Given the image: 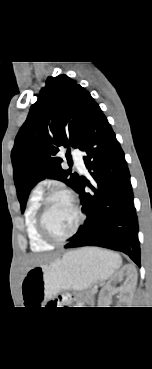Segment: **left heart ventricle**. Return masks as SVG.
<instances>
[{
  "instance_id": "1",
  "label": "left heart ventricle",
  "mask_w": 152,
  "mask_h": 369,
  "mask_svg": "<svg viewBox=\"0 0 152 369\" xmlns=\"http://www.w3.org/2000/svg\"><path fill=\"white\" fill-rule=\"evenodd\" d=\"M46 222L51 233L63 237L71 232L76 223V212L65 196H56L48 204Z\"/></svg>"
}]
</instances>
